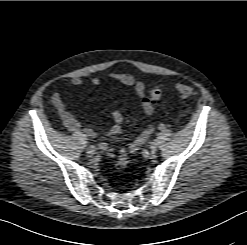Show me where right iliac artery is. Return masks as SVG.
<instances>
[{
  "mask_svg": "<svg viewBox=\"0 0 247 245\" xmlns=\"http://www.w3.org/2000/svg\"><path fill=\"white\" fill-rule=\"evenodd\" d=\"M90 149L95 150V146H90Z\"/></svg>",
  "mask_w": 247,
  "mask_h": 245,
  "instance_id": "obj_1",
  "label": "right iliac artery"
}]
</instances>
